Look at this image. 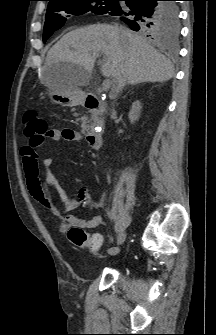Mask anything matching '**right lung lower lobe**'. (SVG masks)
Masks as SVG:
<instances>
[{"label": "right lung lower lobe", "mask_w": 216, "mask_h": 335, "mask_svg": "<svg viewBox=\"0 0 216 335\" xmlns=\"http://www.w3.org/2000/svg\"><path fill=\"white\" fill-rule=\"evenodd\" d=\"M171 0H120L109 12L119 16L132 30L159 35L179 26L178 8L169 6ZM179 32V31H178Z\"/></svg>", "instance_id": "1"}]
</instances>
